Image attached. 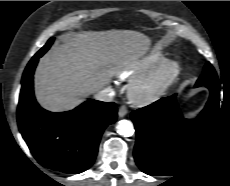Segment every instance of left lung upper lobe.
Segmentation results:
<instances>
[{
  "instance_id": "1",
  "label": "left lung upper lobe",
  "mask_w": 230,
  "mask_h": 186,
  "mask_svg": "<svg viewBox=\"0 0 230 186\" xmlns=\"http://www.w3.org/2000/svg\"><path fill=\"white\" fill-rule=\"evenodd\" d=\"M209 84H219V82L214 68L209 62H207L204 67L203 73L196 83V87L206 86Z\"/></svg>"
}]
</instances>
